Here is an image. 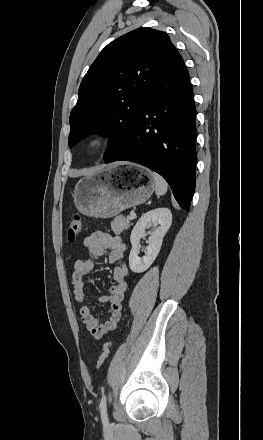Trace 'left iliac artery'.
Masks as SVG:
<instances>
[{
    "label": "left iliac artery",
    "mask_w": 263,
    "mask_h": 440,
    "mask_svg": "<svg viewBox=\"0 0 263 440\" xmlns=\"http://www.w3.org/2000/svg\"><path fill=\"white\" fill-rule=\"evenodd\" d=\"M99 409L102 413L103 421L107 423L108 417H107V412H106V395L105 394L102 396V399H101V402L99 405Z\"/></svg>",
    "instance_id": "obj_1"
}]
</instances>
